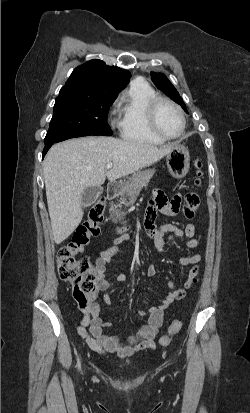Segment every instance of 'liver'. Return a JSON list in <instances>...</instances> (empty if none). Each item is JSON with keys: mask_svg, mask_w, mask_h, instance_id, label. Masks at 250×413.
<instances>
[{"mask_svg": "<svg viewBox=\"0 0 250 413\" xmlns=\"http://www.w3.org/2000/svg\"><path fill=\"white\" fill-rule=\"evenodd\" d=\"M175 147L106 136L67 140L51 147L43 162L47 205L56 244L66 240L83 218L82 194L150 166ZM113 166L106 171L107 163Z\"/></svg>", "mask_w": 250, "mask_h": 413, "instance_id": "obj_1", "label": "liver"}]
</instances>
